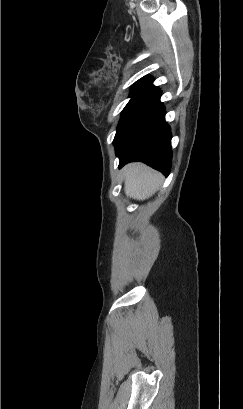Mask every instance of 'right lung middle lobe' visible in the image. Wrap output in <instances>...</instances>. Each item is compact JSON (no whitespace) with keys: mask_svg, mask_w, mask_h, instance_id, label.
Returning <instances> with one entry per match:
<instances>
[{"mask_svg":"<svg viewBox=\"0 0 243 409\" xmlns=\"http://www.w3.org/2000/svg\"><path fill=\"white\" fill-rule=\"evenodd\" d=\"M151 79H140L137 81L131 90V100L122 111L121 119L119 121L117 132L118 135L123 126L127 123L133 113L144 103V101L158 88L152 84Z\"/></svg>","mask_w":243,"mask_h":409,"instance_id":"obj_1","label":"right lung middle lobe"}]
</instances>
